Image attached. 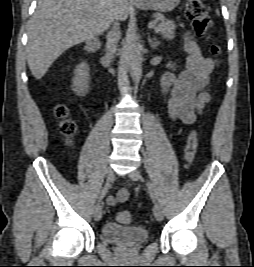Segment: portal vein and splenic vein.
Returning <instances> with one entry per match:
<instances>
[{
    "instance_id": "obj_1",
    "label": "portal vein and splenic vein",
    "mask_w": 254,
    "mask_h": 267,
    "mask_svg": "<svg viewBox=\"0 0 254 267\" xmlns=\"http://www.w3.org/2000/svg\"><path fill=\"white\" fill-rule=\"evenodd\" d=\"M157 24V21H151L148 23V28H154Z\"/></svg>"
}]
</instances>
